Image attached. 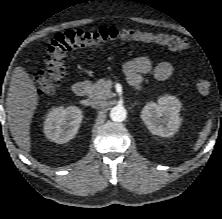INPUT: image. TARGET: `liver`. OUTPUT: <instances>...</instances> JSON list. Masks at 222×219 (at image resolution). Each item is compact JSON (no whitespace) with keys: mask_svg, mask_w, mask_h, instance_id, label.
I'll list each match as a JSON object with an SVG mask.
<instances>
[{"mask_svg":"<svg viewBox=\"0 0 222 219\" xmlns=\"http://www.w3.org/2000/svg\"><path fill=\"white\" fill-rule=\"evenodd\" d=\"M38 99L33 80L23 67L17 66L11 77L6 109L12 137L25 155L31 150L30 124Z\"/></svg>","mask_w":222,"mask_h":219,"instance_id":"obj_1","label":"liver"}]
</instances>
